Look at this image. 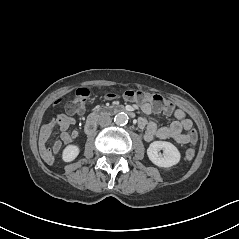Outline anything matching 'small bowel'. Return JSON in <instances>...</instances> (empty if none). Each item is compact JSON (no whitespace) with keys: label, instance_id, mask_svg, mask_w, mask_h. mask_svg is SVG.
Returning a JSON list of instances; mask_svg holds the SVG:
<instances>
[{"label":"small bowel","instance_id":"c3829d8e","mask_svg":"<svg viewBox=\"0 0 239 239\" xmlns=\"http://www.w3.org/2000/svg\"><path fill=\"white\" fill-rule=\"evenodd\" d=\"M141 110L145 114H151L152 112H158L151 103L145 102L141 106ZM166 115L173 114L175 121L170 123L168 126L159 127L155 122L147 121L141 117L138 120L140 128L145 129L144 140L147 142L152 141L155 138L158 139H170L177 143L185 144L190 142L191 132L193 131L192 121L186 117L185 112L178 108L174 111H163ZM76 120L65 114H59L50 118L41 128L39 134V150L42 159L47 164H52L57 155L62 149V142L64 144H70L75 138L78 137V131L69 130L71 125H74ZM58 128L60 131L61 141H55L52 147L48 146V139L52 131Z\"/></svg>","mask_w":239,"mask_h":239}]
</instances>
